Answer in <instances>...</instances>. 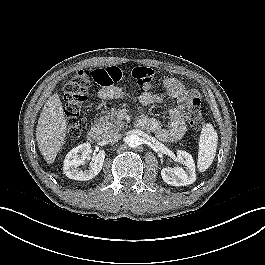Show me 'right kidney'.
Here are the masks:
<instances>
[{"label": "right kidney", "mask_w": 265, "mask_h": 265, "mask_svg": "<svg viewBox=\"0 0 265 265\" xmlns=\"http://www.w3.org/2000/svg\"><path fill=\"white\" fill-rule=\"evenodd\" d=\"M90 143H83L73 148L65 157L63 171L64 174L74 180L86 181L94 178L102 169L105 152L100 151L98 154L92 157L90 162V168L88 170H82L79 168L83 165L87 155L90 151Z\"/></svg>", "instance_id": "1"}]
</instances>
